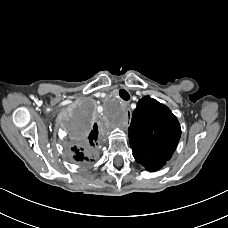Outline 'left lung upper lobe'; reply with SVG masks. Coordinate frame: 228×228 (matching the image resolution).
Returning <instances> with one entry per match:
<instances>
[{"mask_svg": "<svg viewBox=\"0 0 228 228\" xmlns=\"http://www.w3.org/2000/svg\"><path fill=\"white\" fill-rule=\"evenodd\" d=\"M128 132L133 156L147 170L155 161H168L181 136L175 115L149 96L138 101Z\"/></svg>", "mask_w": 228, "mask_h": 228, "instance_id": "5c2ea615", "label": "left lung upper lobe"}]
</instances>
